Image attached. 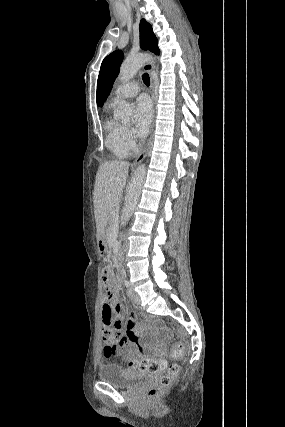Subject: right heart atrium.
Listing matches in <instances>:
<instances>
[{
  "instance_id": "1",
  "label": "right heart atrium",
  "mask_w": 285,
  "mask_h": 427,
  "mask_svg": "<svg viewBox=\"0 0 285 427\" xmlns=\"http://www.w3.org/2000/svg\"><path fill=\"white\" fill-rule=\"evenodd\" d=\"M125 141L126 143L134 149L136 147V138L134 135V132L131 128L125 127V133H124Z\"/></svg>"
}]
</instances>
